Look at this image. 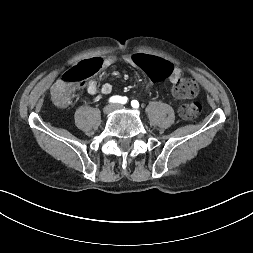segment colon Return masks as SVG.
Masks as SVG:
<instances>
[{
	"mask_svg": "<svg viewBox=\"0 0 253 253\" xmlns=\"http://www.w3.org/2000/svg\"><path fill=\"white\" fill-rule=\"evenodd\" d=\"M135 62L140 68L146 70L153 80H159L167 77L172 66L168 62L162 61L158 55H149L145 52H139L135 55ZM101 68L99 59L94 58L67 70L63 77L58 80L52 88V97L54 101L61 106L67 105L71 100L72 86L79 83L94 74ZM198 87L195 81L191 79H180L174 85V93L181 98H191L196 96ZM201 112V104L199 102H190L182 105L179 109L180 116L186 120L196 118Z\"/></svg>",
	"mask_w": 253,
	"mask_h": 253,
	"instance_id": "1",
	"label": "colon"
}]
</instances>
